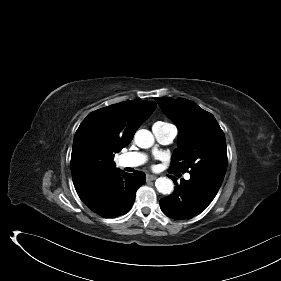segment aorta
Returning a JSON list of instances; mask_svg holds the SVG:
<instances>
[{
	"instance_id": "aorta-1",
	"label": "aorta",
	"mask_w": 281,
	"mask_h": 281,
	"mask_svg": "<svg viewBox=\"0 0 281 281\" xmlns=\"http://www.w3.org/2000/svg\"><path fill=\"white\" fill-rule=\"evenodd\" d=\"M135 143L140 148H150L154 144V136L147 129H140L135 134ZM155 186L158 192L167 195L171 194L174 190V184L171 179L166 177H160L156 180Z\"/></svg>"
}]
</instances>
